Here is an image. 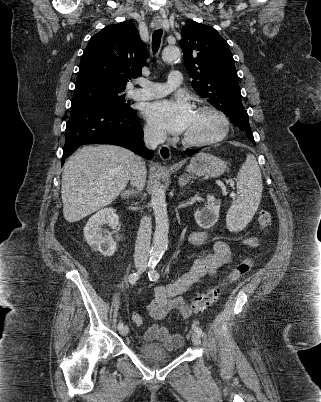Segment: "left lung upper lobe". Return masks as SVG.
<instances>
[{
	"label": "left lung upper lobe",
	"instance_id": "5c2ea615",
	"mask_svg": "<svg viewBox=\"0 0 321 402\" xmlns=\"http://www.w3.org/2000/svg\"><path fill=\"white\" fill-rule=\"evenodd\" d=\"M180 46L193 89L254 141L228 43L212 27L189 20L181 31Z\"/></svg>",
	"mask_w": 321,
	"mask_h": 402
}]
</instances>
